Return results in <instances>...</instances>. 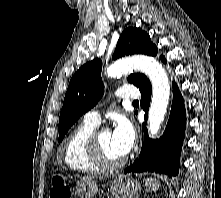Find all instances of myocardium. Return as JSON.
I'll list each match as a JSON object with an SVG mask.
<instances>
[{"mask_svg": "<svg viewBox=\"0 0 221 198\" xmlns=\"http://www.w3.org/2000/svg\"><path fill=\"white\" fill-rule=\"evenodd\" d=\"M108 131L107 128L102 127V128H96L90 135L89 140H88V150H89V154L91 159L93 160V162L100 168V169H104V170H115L118 169L120 167H122L127 159L125 157H123L120 160H110L108 159L102 148L100 145V135L105 132Z\"/></svg>", "mask_w": 221, "mask_h": 198, "instance_id": "f54148a6", "label": "myocardium"}]
</instances>
